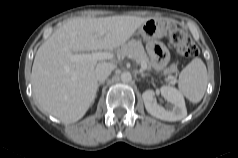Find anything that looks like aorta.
Wrapping results in <instances>:
<instances>
[{
    "mask_svg": "<svg viewBox=\"0 0 238 158\" xmlns=\"http://www.w3.org/2000/svg\"><path fill=\"white\" fill-rule=\"evenodd\" d=\"M132 80V75L130 72H122L121 73V81L124 83H128Z\"/></svg>",
    "mask_w": 238,
    "mask_h": 158,
    "instance_id": "obj_1",
    "label": "aorta"
}]
</instances>
